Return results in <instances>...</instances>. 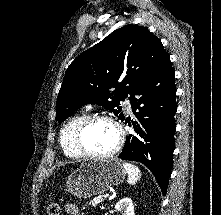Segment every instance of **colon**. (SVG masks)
I'll return each mask as SVG.
<instances>
[{
    "label": "colon",
    "instance_id": "5ec220e1",
    "mask_svg": "<svg viewBox=\"0 0 221 215\" xmlns=\"http://www.w3.org/2000/svg\"><path fill=\"white\" fill-rule=\"evenodd\" d=\"M61 207L57 203H50L47 206V215H60Z\"/></svg>",
    "mask_w": 221,
    "mask_h": 215
}]
</instances>
